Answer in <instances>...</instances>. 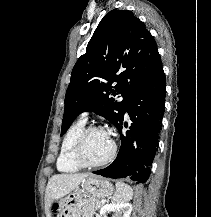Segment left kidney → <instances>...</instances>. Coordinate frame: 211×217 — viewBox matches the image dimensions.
I'll return each instance as SVG.
<instances>
[{
    "label": "left kidney",
    "instance_id": "obj_1",
    "mask_svg": "<svg viewBox=\"0 0 211 217\" xmlns=\"http://www.w3.org/2000/svg\"><path fill=\"white\" fill-rule=\"evenodd\" d=\"M131 211L132 206L127 202L111 203L104 205L97 217H106L105 214L107 212H113V217H130Z\"/></svg>",
    "mask_w": 211,
    "mask_h": 217
}]
</instances>
